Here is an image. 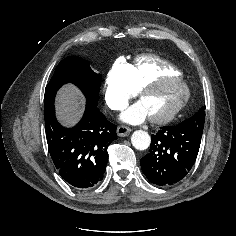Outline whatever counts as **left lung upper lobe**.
Instances as JSON below:
<instances>
[{
  "label": "left lung upper lobe",
  "instance_id": "obj_1",
  "mask_svg": "<svg viewBox=\"0 0 236 236\" xmlns=\"http://www.w3.org/2000/svg\"><path fill=\"white\" fill-rule=\"evenodd\" d=\"M204 121H205V106H203L194 116L188 118L187 120L181 122L178 125L203 131Z\"/></svg>",
  "mask_w": 236,
  "mask_h": 236
}]
</instances>
